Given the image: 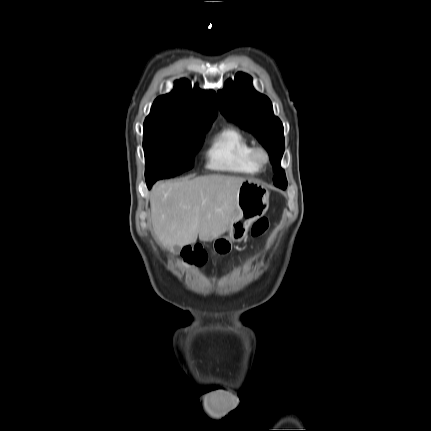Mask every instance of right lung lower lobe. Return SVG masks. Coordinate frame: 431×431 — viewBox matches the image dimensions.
Wrapping results in <instances>:
<instances>
[{
  "instance_id": "right-lung-lower-lobe-1",
  "label": "right lung lower lobe",
  "mask_w": 431,
  "mask_h": 431,
  "mask_svg": "<svg viewBox=\"0 0 431 431\" xmlns=\"http://www.w3.org/2000/svg\"><path fill=\"white\" fill-rule=\"evenodd\" d=\"M154 182H155V181H152V180L146 181L147 186H148V188H149V189L151 188V186H152V184H153Z\"/></svg>"
}]
</instances>
